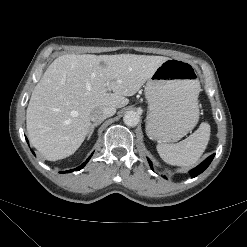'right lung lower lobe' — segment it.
Masks as SVG:
<instances>
[{
  "instance_id": "1",
  "label": "right lung lower lobe",
  "mask_w": 247,
  "mask_h": 247,
  "mask_svg": "<svg viewBox=\"0 0 247 247\" xmlns=\"http://www.w3.org/2000/svg\"><path fill=\"white\" fill-rule=\"evenodd\" d=\"M89 159H90V157H89V158H88L81 166H79L78 168L72 169V170H68V171H66V172L79 171V170L82 169L83 166L89 161Z\"/></svg>"
}]
</instances>
